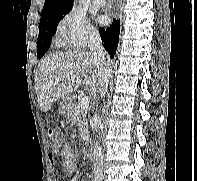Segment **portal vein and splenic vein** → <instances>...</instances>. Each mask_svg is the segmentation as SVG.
I'll return each instance as SVG.
<instances>
[{"label": "portal vein and splenic vein", "instance_id": "portal-vein-and-splenic-vein-1", "mask_svg": "<svg viewBox=\"0 0 197 181\" xmlns=\"http://www.w3.org/2000/svg\"><path fill=\"white\" fill-rule=\"evenodd\" d=\"M71 78L75 79V76H72ZM57 81H59V79H57ZM89 103H90L89 97L88 96H83V98L81 99V102H80V107L82 109H87L88 106H89Z\"/></svg>", "mask_w": 197, "mask_h": 181}]
</instances>
